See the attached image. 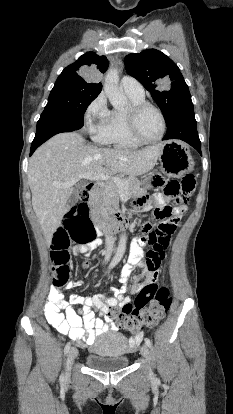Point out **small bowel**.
<instances>
[{"instance_id": "c3829d8e", "label": "small bowel", "mask_w": 233, "mask_h": 414, "mask_svg": "<svg viewBox=\"0 0 233 414\" xmlns=\"http://www.w3.org/2000/svg\"><path fill=\"white\" fill-rule=\"evenodd\" d=\"M141 205L145 204V201L140 202ZM156 210L167 209L166 200L162 195L156 196ZM149 206L144 205L143 209H147ZM187 211L186 205H180L174 209H170L172 216L168 218V222L175 225L180 221L183 214ZM101 244L99 238L94 239L87 245L74 247V253L77 255L87 256L88 253L97 248ZM166 248V247H165ZM164 253V252H163ZM143 257V251L138 242H133L130 249V257L128 264L125 266L121 281L125 284L123 288L117 290L116 284L110 285V290L114 291L112 297L106 300V304H103L104 297L101 294L93 296L80 297L71 295L66 299L62 294H50L44 304V314L50 325H52L61 334L67 335L70 339L79 342L86 346H91L95 343L98 336L109 329L107 321H109L108 311L110 308L121 307L128 299L125 297L127 291H131L133 294L139 293L140 290L149 285L156 284L158 280V268L154 271H149L141 264V258ZM141 266L143 268L142 276L144 280L135 284L128 282L131 271L136 267ZM160 266V265H159ZM74 278L73 276L71 277ZM69 284H63V289L74 290L75 287H85L86 278L80 277L77 283H72L71 279L68 280ZM77 284V286H75ZM61 288H48V293H61ZM79 305L81 307L80 314H78L73 306ZM100 311L99 317H96L95 312ZM141 338V331L135 336L132 342H135Z\"/></svg>"}]
</instances>
